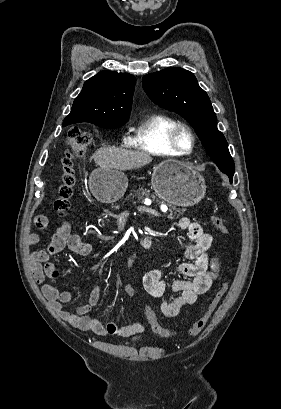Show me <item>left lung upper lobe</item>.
I'll list each match as a JSON object with an SVG mask.
<instances>
[{"label":"left lung upper lobe","instance_id":"obj_1","mask_svg":"<svg viewBox=\"0 0 281 409\" xmlns=\"http://www.w3.org/2000/svg\"><path fill=\"white\" fill-rule=\"evenodd\" d=\"M142 83L155 104L176 112L192 125L207 154L223 173L234 174V162L224 135L217 129L210 99L193 73L170 67L145 75Z\"/></svg>","mask_w":281,"mask_h":409}]
</instances>
